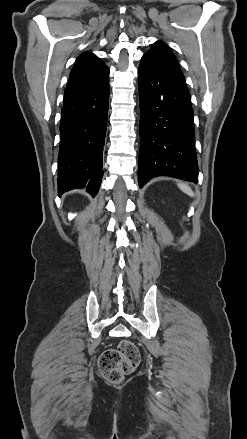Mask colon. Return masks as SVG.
Segmentation results:
<instances>
[{
	"label": "colon",
	"mask_w": 247,
	"mask_h": 439,
	"mask_svg": "<svg viewBox=\"0 0 247 439\" xmlns=\"http://www.w3.org/2000/svg\"><path fill=\"white\" fill-rule=\"evenodd\" d=\"M140 361V353L134 343L123 340L116 349L104 351L99 358V369L103 377L111 383H119L135 370Z\"/></svg>",
	"instance_id": "obj_1"
}]
</instances>
